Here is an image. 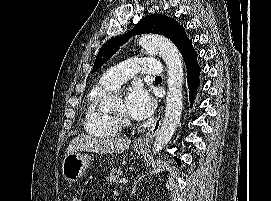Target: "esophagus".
I'll use <instances>...</instances> for the list:
<instances>
[{"label": "esophagus", "instance_id": "34e87169", "mask_svg": "<svg viewBox=\"0 0 271 201\" xmlns=\"http://www.w3.org/2000/svg\"><path fill=\"white\" fill-rule=\"evenodd\" d=\"M163 113H164V109L163 107H160L159 112H158V117L155 123L145 134H143L140 138L136 140L135 144L137 146H148V144L152 142V140L154 139V137L157 135V133L160 130L162 120H163Z\"/></svg>", "mask_w": 271, "mask_h": 201}]
</instances>
